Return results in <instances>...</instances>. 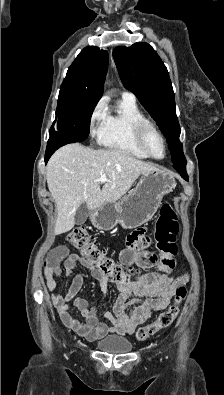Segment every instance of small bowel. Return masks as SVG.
<instances>
[{
	"label": "small bowel",
	"mask_w": 224,
	"mask_h": 395,
	"mask_svg": "<svg viewBox=\"0 0 224 395\" xmlns=\"http://www.w3.org/2000/svg\"><path fill=\"white\" fill-rule=\"evenodd\" d=\"M149 239L143 229L132 232L127 238V246L120 254V261L126 267L140 266L150 268L155 264V257L146 250ZM63 261V267L61 262ZM78 264L89 270L90 275L97 281V288L102 295L108 291L111 282L116 283L119 295L112 311L103 312L100 319L98 311L90 307L88 301L79 295L84 277L81 273L74 275L65 294L55 292L59 280L65 272L71 276ZM44 278L51 299L56 307L62 322L79 336L90 341H96L109 334L130 335L153 312L166 308L176 289L187 282V275H167L150 272L140 277L134 284H124L111 279L98 268L89 264L79 254H69L66 246H59L51 251L50 264L44 268ZM83 317L79 321L69 313V301ZM134 305L132 310L129 307Z\"/></svg>",
	"instance_id": "obj_1"
}]
</instances>
